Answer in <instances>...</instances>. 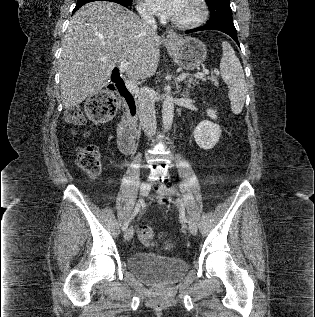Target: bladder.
<instances>
[{
    "mask_svg": "<svg viewBox=\"0 0 315 317\" xmlns=\"http://www.w3.org/2000/svg\"><path fill=\"white\" fill-rule=\"evenodd\" d=\"M127 266L143 282L154 286L171 285L180 280L188 270V264L183 259L147 252L131 254L127 259Z\"/></svg>",
    "mask_w": 315,
    "mask_h": 317,
    "instance_id": "31cf9c89",
    "label": "bladder"
}]
</instances>
